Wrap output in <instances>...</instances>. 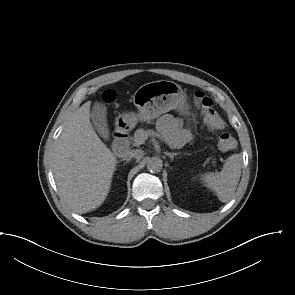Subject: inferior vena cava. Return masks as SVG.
Listing matches in <instances>:
<instances>
[{
    "label": "inferior vena cava",
    "mask_w": 295,
    "mask_h": 295,
    "mask_svg": "<svg viewBox=\"0 0 295 295\" xmlns=\"http://www.w3.org/2000/svg\"><path fill=\"white\" fill-rule=\"evenodd\" d=\"M143 156V151L140 149H136V150H131L127 153V157L126 158H136V159H140Z\"/></svg>",
    "instance_id": "obj_1"
}]
</instances>
